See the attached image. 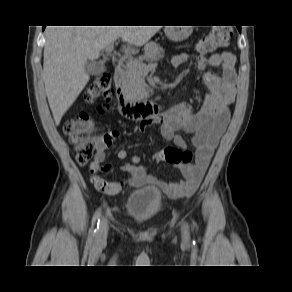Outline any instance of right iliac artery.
<instances>
[{"label": "right iliac artery", "mask_w": 292, "mask_h": 292, "mask_svg": "<svg viewBox=\"0 0 292 292\" xmlns=\"http://www.w3.org/2000/svg\"><path fill=\"white\" fill-rule=\"evenodd\" d=\"M100 217H101V209H98L93 216L92 226H91V229L89 231L90 238L95 237V235L99 229Z\"/></svg>", "instance_id": "right-iliac-artery-1"}]
</instances>
